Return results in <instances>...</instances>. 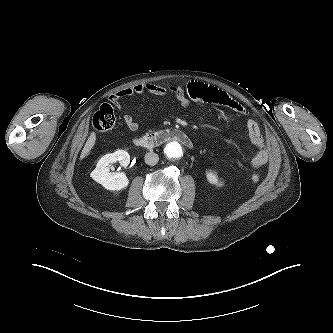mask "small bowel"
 I'll return each instance as SVG.
<instances>
[{
    "instance_id": "c3829d8e",
    "label": "small bowel",
    "mask_w": 333,
    "mask_h": 333,
    "mask_svg": "<svg viewBox=\"0 0 333 333\" xmlns=\"http://www.w3.org/2000/svg\"><path fill=\"white\" fill-rule=\"evenodd\" d=\"M140 94H151L162 97L172 96L185 108L198 103H207L226 107L239 115L247 116L249 114L248 110L241 103L231 98L226 92L216 87L194 81L188 83L186 87L142 83L115 92L110 96V101L118 109H121L120 102L123 99ZM123 121L130 131H136L139 128V123L129 114L123 116ZM246 127L251 143L257 148V152L250 158V165L252 168H260L268 161V146L255 119L247 117Z\"/></svg>"
}]
</instances>
